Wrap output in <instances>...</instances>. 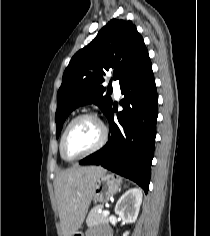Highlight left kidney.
<instances>
[{"label": "left kidney", "mask_w": 210, "mask_h": 236, "mask_svg": "<svg viewBox=\"0 0 210 236\" xmlns=\"http://www.w3.org/2000/svg\"><path fill=\"white\" fill-rule=\"evenodd\" d=\"M142 191L138 188H131L126 191L115 206V213L126 223H133L136 221L140 205L142 203ZM126 231L123 236H128Z\"/></svg>", "instance_id": "1"}]
</instances>
